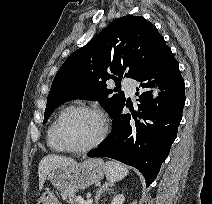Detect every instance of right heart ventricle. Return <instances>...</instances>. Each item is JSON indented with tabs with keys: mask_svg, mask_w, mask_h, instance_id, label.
Masks as SVG:
<instances>
[{
	"mask_svg": "<svg viewBox=\"0 0 212 204\" xmlns=\"http://www.w3.org/2000/svg\"><path fill=\"white\" fill-rule=\"evenodd\" d=\"M56 118L51 122L50 126L48 127L47 133H46V142L48 147L54 151V152H63L64 150L61 148V146L57 143L55 136H54V124H55Z\"/></svg>",
	"mask_w": 212,
	"mask_h": 204,
	"instance_id": "right-heart-ventricle-1",
	"label": "right heart ventricle"
}]
</instances>
